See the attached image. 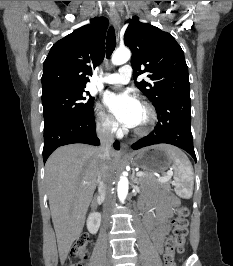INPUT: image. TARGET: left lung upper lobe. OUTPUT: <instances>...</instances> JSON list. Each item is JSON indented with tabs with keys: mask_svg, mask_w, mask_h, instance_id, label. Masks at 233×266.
Returning a JSON list of instances; mask_svg holds the SVG:
<instances>
[{
	"mask_svg": "<svg viewBox=\"0 0 233 266\" xmlns=\"http://www.w3.org/2000/svg\"><path fill=\"white\" fill-rule=\"evenodd\" d=\"M127 22L124 42L132 51L133 78L147 72L151 79V82L135 81L136 86L155 107L169 97L190 93L184 52L174 37L138 21L136 16Z\"/></svg>",
	"mask_w": 233,
	"mask_h": 266,
	"instance_id": "obj_1",
	"label": "left lung upper lobe"
}]
</instances>
